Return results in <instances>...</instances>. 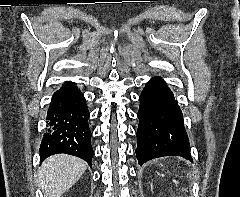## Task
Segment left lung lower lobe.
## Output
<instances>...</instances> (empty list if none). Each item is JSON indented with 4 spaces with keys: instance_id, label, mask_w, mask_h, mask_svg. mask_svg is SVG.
Wrapping results in <instances>:
<instances>
[{
    "instance_id": "0a47b994",
    "label": "left lung lower lobe",
    "mask_w": 240,
    "mask_h": 197,
    "mask_svg": "<svg viewBox=\"0 0 240 197\" xmlns=\"http://www.w3.org/2000/svg\"><path fill=\"white\" fill-rule=\"evenodd\" d=\"M139 100L136 148L139 165L163 156H181L192 161L182 112L164 80L152 78Z\"/></svg>"
}]
</instances>
